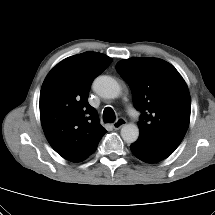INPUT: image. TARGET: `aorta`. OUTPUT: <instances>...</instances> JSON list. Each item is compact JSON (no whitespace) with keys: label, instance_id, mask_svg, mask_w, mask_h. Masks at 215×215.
<instances>
[{"label":"aorta","instance_id":"obj_1","mask_svg":"<svg viewBox=\"0 0 215 215\" xmlns=\"http://www.w3.org/2000/svg\"><path fill=\"white\" fill-rule=\"evenodd\" d=\"M93 91L100 97L114 99L120 96L121 87L118 82L110 76H98L92 84ZM121 136L127 143H133L138 139L139 128L136 124H125L121 129Z\"/></svg>","mask_w":215,"mask_h":215}]
</instances>
